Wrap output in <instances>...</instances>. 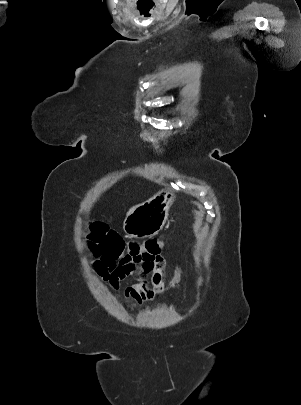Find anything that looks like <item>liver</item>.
<instances>
[{"label": "liver", "mask_w": 301, "mask_h": 405, "mask_svg": "<svg viewBox=\"0 0 301 405\" xmlns=\"http://www.w3.org/2000/svg\"><path fill=\"white\" fill-rule=\"evenodd\" d=\"M136 207H133L129 210L128 214L131 213Z\"/></svg>", "instance_id": "obj_1"}]
</instances>
